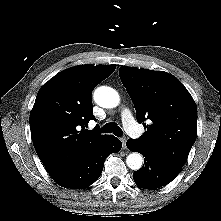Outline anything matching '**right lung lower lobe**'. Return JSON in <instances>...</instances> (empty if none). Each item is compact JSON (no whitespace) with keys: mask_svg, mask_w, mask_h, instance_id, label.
Masks as SVG:
<instances>
[{"mask_svg":"<svg viewBox=\"0 0 221 221\" xmlns=\"http://www.w3.org/2000/svg\"><path fill=\"white\" fill-rule=\"evenodd\" d=\"M121 148V141L110 135L103 143L53 179L65 188L80 189L87 187L101 175L106 157L111 153L120 151Z\"/></svg>","mask_w":221,"mask_h":221,"instance_id":"1","label":"right lung lower lobe"}]
</instances>
